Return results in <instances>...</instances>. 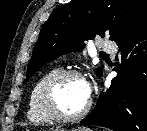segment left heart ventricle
Returning a JSON list of instances; mask_svg holds the SVG:
<instances>
[{
  "label": "left heart ventricle",
  "instance_id": "obj_1",
  "mask_svg": "<svg viewBox=\"0 0 147 131\" xmlns=\"http://www.w3.org/2000/svg\"><path fill=\"white\" fill-rule=\"evenodd\" d=\"M84 81L78 78H68L56 90V101L59 109L65 114L80 112L87 104Z\"/></svg>",
  "mask_w": 147,
  "mask_h": 131
}]
</instances>
